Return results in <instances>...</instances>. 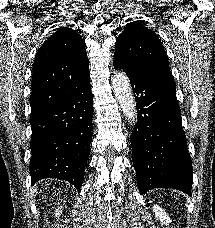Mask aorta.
Segmentation results:
<instances>
[{"label":"aorta","mask_w":215,"mask_h":228,"mask_svg":"<svg viewBox=\"0 0 215 228\" xmlns=\"http://www.w3.org/2000/svg\"><path fill=\"white\" fill-rule=\"evenodd\" d=\"M114 96L129 124H137V108L131 84L125 74L116 70L112 78Z\"/></svg>","instance_id":"obj_1"}]
</instances>
